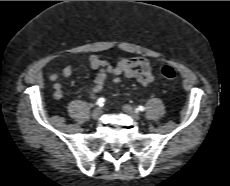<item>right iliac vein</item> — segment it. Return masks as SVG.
Segmentation results:
<instances>
[{
    "label": "right iliac vein",
    "instance_id": "1",
    "mask_svg": "<svg viewBox=\"0 0 230 186\" xmlns=\"http://www.w3.org/2000/svg\"><path fill=\"white\" fill-rule=\"evenodd\" d=\"M102 115V109L101 108H96L92 112V118L94 120H98Z\"/></svg>",
    "mask_w": 230,
    "mask_h": 186
}]
</instances>
